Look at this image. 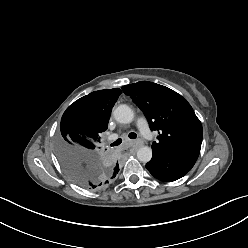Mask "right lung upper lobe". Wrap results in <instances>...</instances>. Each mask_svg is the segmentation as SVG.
<instances>
[{"label":"right lung upper lobe","instance_id":"obj_1","mask_svg":"<svg viewBox=\"0 0 248 248\" xmlns=\"http://www.w3.org/2000/svg\"><path fill=\"white\" fill-rule=\"evenodd\" d=\"M121 93L119 88L94 91L71 104L61 119V130L70 131L75 138L66 141L65 148L99 159L114 177L119 165L100 150L99 143ZM62 154L67 156L65 151Z\"/></svg>","mask_w":248,"mask_h":248}]
</instances>
